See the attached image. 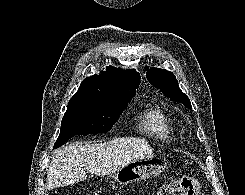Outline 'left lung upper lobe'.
Masks as SVG:
<instances>
[{
  "mask_svg": "<svg viewBox=\"0 0 245 195\" xmlns=\"http://www.w3.org/2000/svg\"><path fill=\"white\" fill-rule=\"evenodd\" d=\"M148 81L156 88H159L170 99L182 103L191 109V103L186 94L178 86L176 77L170 71L165 69L145 67Z\"/></svg>",
  "mask_w": 245,
  "mask_h": 195,
  "instance_id": "1",
  "label": "left lung upper lobe"
}]
</instances>
